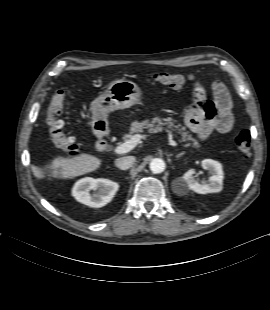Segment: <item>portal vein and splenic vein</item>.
<instances>
[{"instance_id": "portal-vein-and-splenic-vein-1", "label": "portal vein and splenic vein", "mask_w": 270, "mask_h": 310, "mask_svg": "<svg viewBox=\"0 0 270 310\" xmlns=\"http://www.w3.org/2000/svg\"><path fill=\"white\" fill-rule=\"evenodd\" d=\"M144 137L145 136L140 135V134L133 135L130 140H128L125 143L117 146L114 149V153L124 154V153L131 151L138 143H140V140ZM168 142H169V145H171V146H178V143L172 139V134L170 132H169Z\"/></svg>"}]
</instances>
